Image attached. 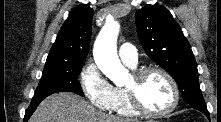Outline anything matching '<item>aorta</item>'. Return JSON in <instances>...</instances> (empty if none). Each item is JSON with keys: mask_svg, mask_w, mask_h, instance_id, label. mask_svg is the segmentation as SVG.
<instances>
[{"mask_svg": "<svg viewBox=\"0 0 221 122\" xmlns=\"http://www.w3.org/2000/svg\"><path fill=\"white\" fill-rule=\"evenodd\" d=\"M119 28V24L115 21L106 22L93 49L94 60L98 68L116 85L126 83L128 73L117 54L116 43Z\"/></svg>", "mask_w": 221, "mask_h": 122, "instance_id": "1", "label": "aorta"}]
</instances>
